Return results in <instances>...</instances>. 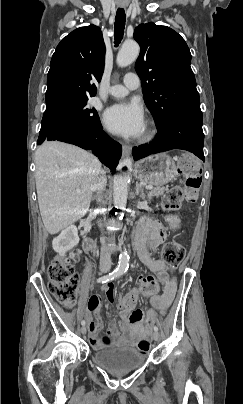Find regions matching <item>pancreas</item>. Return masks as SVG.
Segmentation results:
<instances>
[{
    "instance_id": "cf45deb5",
    "label": "pancreas",
    "mask_w": 243,
    "mask_h": 404,
    "mask_svg": "<svg viewBox=\"0 0 243 404\" xmlns=\"http://www.w3.org/2000/svg\"><path fill=\"white\" fill-rule=\"evenodd\" d=\"M168 186H156L154 190H151V192H148V198H152V196H163L164 192H167Z\"/></svg>"
}]
</instances>
